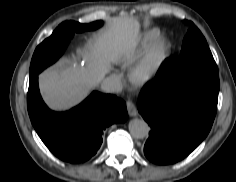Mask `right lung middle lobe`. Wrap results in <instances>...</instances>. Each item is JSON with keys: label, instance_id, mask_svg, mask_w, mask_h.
I'll return each instance as SVG.
<instances>
[{"label": "right lung middle lobe", "instance_id": "right-lung-middle-lobe-1", "mask_svg": "<svg viewBox=\"0 0 236 182\" xmlns=\"http://www.w3.org/2000/svg\"><path fill=\"white\" fill-rule=\"evenodd\" d=\"M102 24V21H96L90 24H80L75 21L61 23L52 35L36 48L31 60L30 75L40 73L58 60L68 42L73 37L74 32L79 33L87 30H95Z\"/></svg>", "mask_w": 236, "mask_h": 182}]
</instances>
